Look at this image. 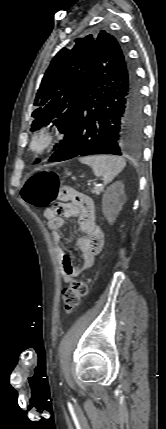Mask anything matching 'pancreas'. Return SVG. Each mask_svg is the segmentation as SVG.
Listing matches in <instances>:
<instances>
[{"mask_svg":"<svg viewBox=\"0 0 166 429\" xmlns=\"http://www.w3.org/2000/svg\"><path fill=\"white\" fill-rule=\"evenodd\" d=\"M103 190L102 187H94L91 192L95 194H99Z\"/></svg>","mask_w":166,"mask_h":429,"instance_id":"obj_1","label":"pancreas"}]
</instances>
